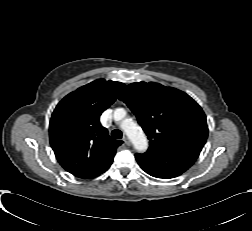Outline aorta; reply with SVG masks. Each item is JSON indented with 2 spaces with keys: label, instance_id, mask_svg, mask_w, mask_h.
Listing matches in <instances>:
<instances>
[{
  "label": "aorta",
  "instance_id": "762f6f07",
  "mask_svg": "<svg viewBox=\"0 0 252 231\" xmlns=\"http://www.w3.org/2000/svg\"><path fill=\"white\" fill-rule=\"evenodd\" d=\"M124 109H116L114 112L115 120H119L121 116H125ZM121 128L124 130L128 138L131 140L134 148L139 152H144L148 149V141L143 130L132 119H124L121 123Z\"/></svg>",
  "mask_w": 252,
  "mask_h": 231
}]
</instances>
